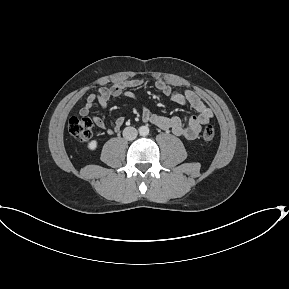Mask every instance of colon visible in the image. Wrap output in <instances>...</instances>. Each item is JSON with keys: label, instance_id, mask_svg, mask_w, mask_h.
<instances>
[{"label": "colon", "instance_id": "obj_1", "mask_svg": "<svg viewBox=\"0 0 289 289\" xmlns=\"http://www.w3.org/2000/svg\"><path fill=\"white\" fill-rule=\"evenodd\" d=\"M69 133L79 142L87 141L92 135V122L87 117H72L68 122ZM215 136V129L208 125L202 132V140L205 143L211 142Z\"/></svg>", "mask_w": 289, "mask_h": 289}]
</instances>
